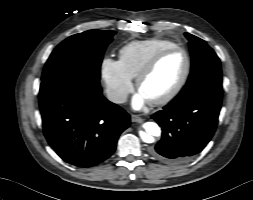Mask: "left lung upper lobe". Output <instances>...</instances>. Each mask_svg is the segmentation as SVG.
<instances>
[{
	"mask_svg": "<svg viewBox=\"0 0 253 200\" xmlns=\"http://www.w3.org/2000/svg\"><path fill=\"white\" fill-rule=\"evenodd\" d=\"M189 41L192 66L189 79L177 95V100L191 97L196 92L206 89H222L221 64L216 53L202 39L185 33Z\"/></svg>",
	"mask_w": 253,
	"mask_h": 200,
	"instance_id": "left-lung-upper-lobe-1",
	"label": "left lung upper lobe"
}]
</instances>
